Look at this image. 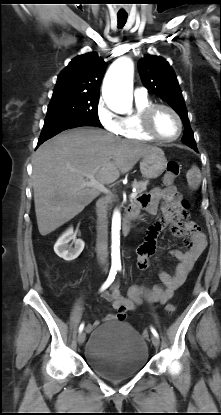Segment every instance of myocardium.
<instances>
[{"label":"myocardium","instance_id":"myocardium-1","mask_svg":"<svg viewBox=\"0 0 221 415\" xmlns=\"http://www.w3.org/2000/svg\"><path fill=\"white\" fill-rule=\"evenodd\" d=\"M159 109H166L168 110L177 120L178 122V132L177 134L172 138H165L161 136L154 127V117L156 112ZM141 120V127L143 131L153 138L154 140L160 141V142H174L176 141L182 134L183 131V121L179 113L170 105L163 104V103H152L149 106H147L140 115Z\"/></svg>","mask_w":221,"mask_h":415}]
</instances>
